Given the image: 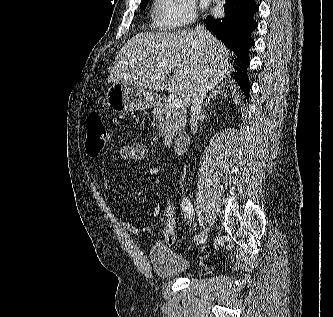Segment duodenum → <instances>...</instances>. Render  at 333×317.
Segmentation results:
<instances>
[{"instance_id": "1", "label": "duodenum", "mask_w": 333, "mask_h": 317, "mask_svg": "<svg viewBox=\"0 0 333 317\" xmlns=\"http://www.w3.org/2000/svg\"><path fill=\"white\" fill-rule=\"evenodd\" d=\"M153 101L155 103H160L161 99L159 97H154ZM189 145V135L187 133L178 134L172 143L173 152L176 155H182L186 152Z\"/></svg>"}]
</instances>
